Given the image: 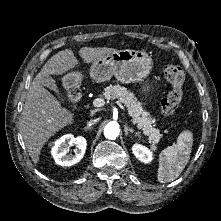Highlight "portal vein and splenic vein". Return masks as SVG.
<instances>
[{"mask_svg":"<svg viewBox=\"0 0 221 221\" xmlns=\"http://www.w3.org/2000/svg\"><path fill=\"white\" fill-rule=\"evenodd\" d=\"M115 103L125 112L124 106L121 104L120 101H115ZM94 107H102L105 104V100L102 98H96L92 102Z\"/></svg>","mask_w":221,"mask_h":221,"instance_id":"obj_1","label":"portal vein and splenic vein"}]
</instances>
